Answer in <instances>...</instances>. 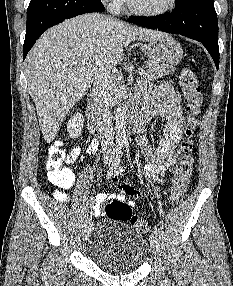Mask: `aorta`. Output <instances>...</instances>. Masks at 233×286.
Instances as JSON below:
<instances>
[{
    "label": "aorta",
    "mask_w": 233,
    "mask_h": 286,
    "mask_svg": "<svg viewBox=\"0 0 233 286\" xmlns=\"http://www.w3.org/2000/svg\"><path fill=\"white\" fill-rule=\"evenodd\" d=\"M126 110L124 106L117 108L115 113V128L118 141H123L126 135Z\"/></svg>",
    "instance_id": "aorta-1"
}]
</instances>
